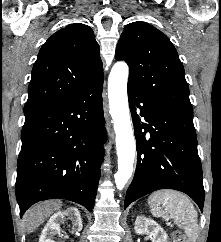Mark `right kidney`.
Wrapping results in <instances>:
<instances>
[{"label": "right kidney", "instance_id": "1", "mask_svg": "<svg viewBox=\"0 0 221 242\" xmlns=\"http://www.w3.org/2000/svg\"><path fill=\"white\" fill-rule=\"evenodd\" d=\"M67 217L72 222V231L79 232L82 230V220L79 210L76 207H69L64 211H58L52 215L42 230L39 242H55L53 236L60 234V224Z\"/></svg>", "mask_w": 221, "mask_h": 242}]
</instances>
